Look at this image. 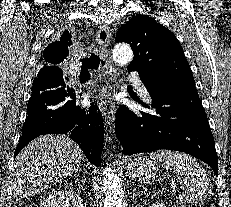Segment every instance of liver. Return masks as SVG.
I'll use <instances>...</instances> for the list:
<instances>
[{
    "mask_svg": "<svg viewBox=\"0 0 231 207\" xmlns=\"http://www.w3.org/2000/svg\"><path fill=\"white\" fill-rule=\"evenodd\" d=\"M80 147L64 135H45L29 143L16 157L10 187L15 202L54 185L79 167Z\"/></svg>",
    "mask_w": 231,
    "mask_h": 207,
    "instance_id": "obj_1",
    "label": "liver"
}]
</instances>
